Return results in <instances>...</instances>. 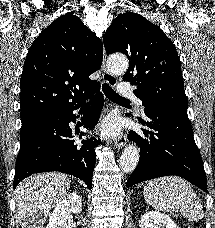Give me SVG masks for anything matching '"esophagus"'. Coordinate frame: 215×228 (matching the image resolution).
<instances>
[{"mask_svg": "<svg viewBox=\"0 0 215 228\" xmlns=\"http://www.w3.org/2000/svg\"><path fill=\"white\" fill-rule=\"evenodd\" d=\"M102 78L105 83L110 85V87L114 88L116 87L118 81L117 78L110 73L107 68H106V52L105 50L103 51V60H102ZM127 142V135H122L120 138H118L114 142V147L117 149L122 148Z\"/></svg>", "mask_w": 215, "mask_h": 228, "instance_id": "obj_1", "label": "esophagus"}]
</instances>
